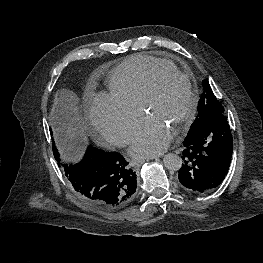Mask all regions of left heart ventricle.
Here are the masks:
<instances>
[{
	"instance_id": "1",
	"label": "left heart ventricle",
	"mask_w": 263,
	"mask_h": 263,
	"mask_svg": "<svg viewBox=\"0 0 263 263\" xmlns=\"http://www.w3.org/2000/svg\"><path fill=\"white\" fill-rule=\"evenodd\" d=\"M188 102L189 94L186 83L182 79L165 76L159 80L146 114L174 132L178 120L186 111Z\"/></svg>"
}]
</instances>
